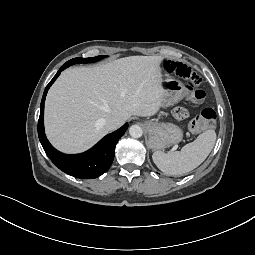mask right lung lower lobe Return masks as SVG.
Instances as JSON below:
<instances>
[{
    "mask_svg": "<svg viewBox=\"0 0 255 255\" xmlns=\"http://www.w3.org/2000/svg\"><path fill=\"white\" fill-rule=\"evenodd\" d=\"M69 66L70 64L66 62L45 88L40 106L38 136L45 153L60 170L76 178L93 179L102 175L110 168L114 159L115 146L127 130L128 124L126 123L117 131L106 135L93 148L81 154L67 155L52 147L44 132V101L50 86L60 75L61 71Z\"/></svg>",
    "mask_w": 255,
    "mask_h": 255,
    "instance_id": "98d812e1",
    "label": "right lung lower lobe"
}]
</instances>
